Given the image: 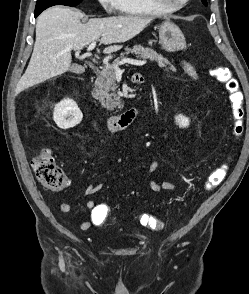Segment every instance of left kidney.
<instances>
[{"instance_id":"obj_1","label":"left kidney","mask_w":249,"mask_h":294,"mask_svg":"<svg viewBox=\"0 0 249 294\" xmlns=\"http://www.w3.org/2000/svg\"><path fill=\"white\" fill-rule=\"evenodd\" d=\"M175 122L177 125H179L180 128H187L190 123L189 118L181 114L175 117Z\"/></svg>"}]
</instances>
